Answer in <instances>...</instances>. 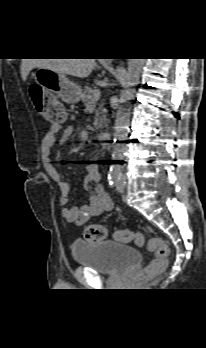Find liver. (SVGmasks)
<instances>
[{
	"mask_svg": "<svg viewBox=\"0 0 206 348\" xmlns=\"http://www.w3.org/2000/svg\"><path fill=\"white\" fill-rule=\"evenodd\" d=\"M95 65V59H23L21 63V77L26 81L30 71L34 68H47L79 78L90 75Z\"/></svg>",
	"mask_w": 206,
	"mask_h": 348,
	"instance_id": "6515ba94",
	"label": "liver"
}]
</instances>
